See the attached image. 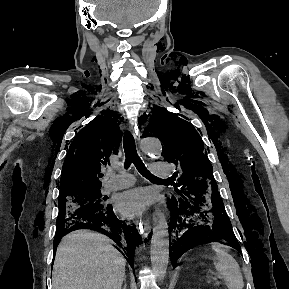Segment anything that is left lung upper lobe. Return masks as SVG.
Listing matches in <instances>:
<instances>
[{"label": "left lung upper lobe", "instance_id": "5c2ea615", "mask_svg": "<svg viewBox=\"0 0 289 289\" xmlns=\"http://www.w3.org/2000/svg\"><path fill=\"white\" fill-rule=\"evenodd\" d=\"M144 137H157L163 143L164 158L179 167L178 196L202 189L209 194L218 186L199 133L188 121L158 107L154 122L144 131Z\"/></svg>", "mask_w": 289, "mask_h": 289}]
</instances>
